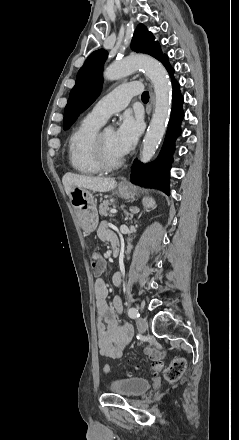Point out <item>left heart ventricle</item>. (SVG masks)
Wrapping results in <instances>:
<instances>
[{
    "label": "left heart ventricle",
    "mask_w": 239,
    "mask_h": 440,
    "mask_svg": "<svg viewBox=\"0 0 239 440\" xmlns=\"http://www.w3.org/2000/svg\"><path fill=\"white\" fill-rule=\"evenodd\" d=\"M102 143L107 155L110 158H115L120 156L118 151L116 150L114 143V132L112 130H103L102 131Z\"/></svg>",
    "instance_id": "1"
}]
</instances>
